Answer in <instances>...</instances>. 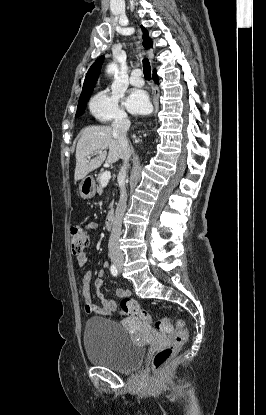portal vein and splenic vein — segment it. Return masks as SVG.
Instances as JSON below:
<instances>
[{
	"mask_svg": "<svg viewBox=\"0 0 266 415\" xmlns=\"http://www.w3.org/2000/svg\"><path fill=\"white\" fill-rule=\"evenodd\" d=\"M97 154H102V151L100 150V151L95 152V155H97ZM90 158H91V156H88V159H90ZM110 178H111L110 171L103 172L102 175H101V185L106 186L107 183L109 182Z\"/></svg>",
	"mask_w": 266,
	"mask_h": 415,
	"instance_id": "portal-vein-and-splenic-vein-1",
	"label": "portal vein and splenic vein"
}]
</instances>
